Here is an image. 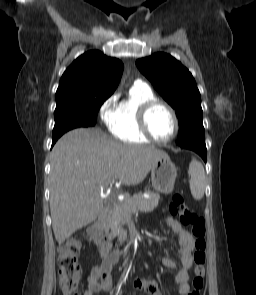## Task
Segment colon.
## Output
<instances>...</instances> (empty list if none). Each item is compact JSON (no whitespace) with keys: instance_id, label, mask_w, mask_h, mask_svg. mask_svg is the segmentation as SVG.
I'll use <instances>...</instances> for the list:
<instances>
[{"instance_id":"colon-1","label":"colon","mask_w":256,"mask_h":295,"mask_svg":"<svg viewBox=\"0 0 256 295\" xmlns=\"http://www.w3.org/2000/svg\"><path fill=\"white\" fill-rule=\"evenodd\" d=\"M171 214L178 216L180 221L191 226L193 243L192 261L194 274L192 289L189 295H201L204 287L206 264V226L203 217L195 214L185 203L180 193H175L169 205ZM82 244L77 238L69 239L60 249L58 257L59 282L63 295H79L81 267L77 257Z\"/></svg>"}]
</instances>
